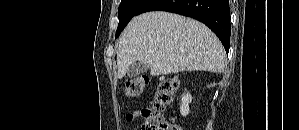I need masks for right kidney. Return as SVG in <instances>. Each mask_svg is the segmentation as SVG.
<instances>
[{"label":"right kidney","instance_id":"ca27d5eb","mask_svg":"<svg viewBox=\"0 0 299 130\" xmlns=\"http://www.w3.org/2000/svg\"><path fill=\"white\" fill-rule=\"evenodd\" d=\"M192 101V96L187 93L182 96L181 105H180V113L182 116H187L189 114V104Z\"/></svg>","mask_w":299,"mask_h":130}]
</instances>
